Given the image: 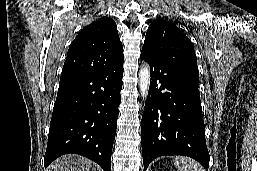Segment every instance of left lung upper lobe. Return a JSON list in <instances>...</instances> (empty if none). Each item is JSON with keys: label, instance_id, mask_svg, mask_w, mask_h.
<instances>
[{"label": "left lung upper lobe", "instance_id": "left-lung-upper-lobe-1", "mask_svg": "<svg viewBox=\"0 0 257 171\" xmlns=\"http://www.w3.org/2000/svg\"><path fill=\"white\" fill-rule=\"evenodd\" d=\"M142 52L150 57L166 55L197 73V58L191 41L175 24L157 20L146 33Z\"/></svg>", "mask_w": 257, "mask_h": 171}]
</instances>
